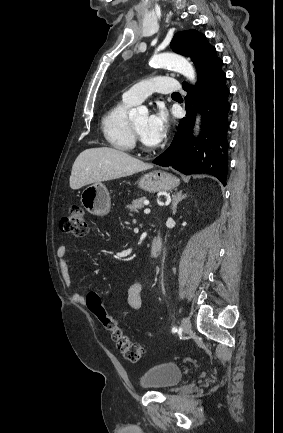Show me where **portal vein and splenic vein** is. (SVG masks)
Segmentation results:
<instances>
[{
    "instance_id": "obj_1",
    "label": "portal vein and splenic vein",
    "mask_w": 283,
    "mask_h": 433,
    "mask_svg": "<svg viewBox=\"0 0 283 433\" xmlns=\"http://www.w3.org/2000/svg\"><path fill=\"white\" fill-rule=\"evenodd\" d=\"M145 214H148V212H151L150 208H144Z\"/></svg>"
}]
</instances>
